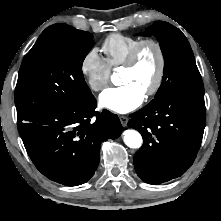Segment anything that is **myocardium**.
Here are the masks:
<instances>
[{
	"label": "myocardium",
	"mask_w": 221,
	"mask_h": 221,
	"mask_svg": "<svg viewBox=\"0 0 221 221\" xmlns=\"http://www.w3.org/2000/svg\"><path fill=\"white\" fill-rule=\"evenodd\" d=\"M147 46H152L156 50L158 57V69L156 73L155 80L150 88L145 92L146 96H152L156 94L162 86L165 70H166V57L164 49L161 43L152 38H146L139 41L130 51L126 61L123 64V67L126 69H132L137 65L139 57L143 49Z\"/></svg>",
	"instance_id": "obj_1"
}]
</instances>
